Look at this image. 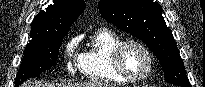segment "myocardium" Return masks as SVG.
I'll return each instance as SVG.
<instances>
[{
  "label": "myocardium",
  "mask_w": 205,
  "mask_h": 87,
  "mask_svg": "<svg viewBox=\"0 0 205 87\" xmlns=\"http://www.w3.org/2000/svg\"><path fill=\"white\" fill-rule=\"evenodd\" d=\"M137 46L140 49H142L149 61V66H148V70L146 71L145 74L141 75V76H132L130 75L123 67L122 65V54L125 50L126 47L128 46ZM111 64L112 67L114 69V71L118 74L119 77H121L122 79H124L127 82H131V83H139V82H143L146 79H148L150 77V75L152 74L153 70H154V65H155V61H154V57L152 52L150 51V49L142 42L138 41V40H124L121 41L113 50L112 54H111Z\"/></svg>",
  "instance_id": "obj_1"
}]
</instances>
